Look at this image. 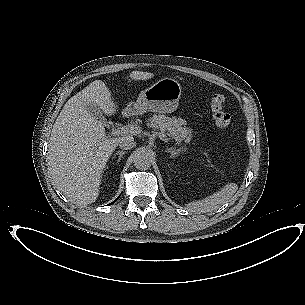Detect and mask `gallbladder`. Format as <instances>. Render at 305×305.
Returning a JSON list of instances; mask_svg holds the SVG:
<instances>
[{
    "mask_svg": "<svg viewBox=\"0 0 305 305\" xmlns=\"http://www.w3.org/2000/svg\"><path fill=\"white\" fill-rule=\"evenodd\" d=\"M95 109L100 115L102 114L100 110H98L97 108H95Z\"/></svg>",
    "mask_w": 305,
    "mask_h": 305,
    "instance_id": "bac80fb5",
    "label": "gallbladder"
}]
</instances>
